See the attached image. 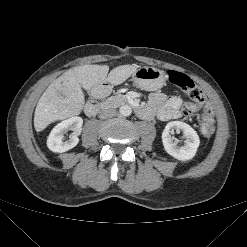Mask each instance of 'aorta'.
Instances as JSON below:
<instances>
[{
	"instance_id": "1",
	"label": "aorta",
	"mask_w": 247,
	"mask_h": 247,
	"mask_svg": "<svg viewBox=\"0 0 247 247\" xmlns=\"http://www.w3.org/2000/svg\"><path fill=\"white\" fill-rule=\"evenodd\" d=\"M119 112L122 116H130L132 109L129 105H123L120 107Z\"/></svg>"
}]
</instances>
